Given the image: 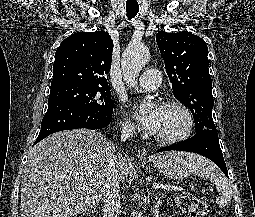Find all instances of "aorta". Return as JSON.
Here are the masks:
<instances>
[{"label":"aorta","instance_id":"1","mask_svg":"<svg viewBox=\"0 0 255 217\" xmlns=\"http://www.w3.org/2000/svg\"><path fill=\"white\" fill-rule=\"evenodd\" d=\"M149 60V50L137 44H130L122 55L121 67L123 79L128 86L136 84V78L141 69L146 65ZM149 100H144L140 104V113L144 114L148 108L151 107Z\"/></svg>","mask_w":255,"mask_h":217}]
</instances>
